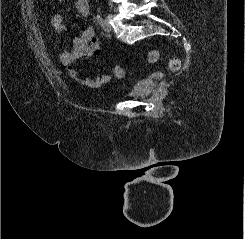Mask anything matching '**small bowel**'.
<instances>
[{
	"label": "small bowel",
	"mask_w": 245,
	"mask_h": 239,
	"mask_svg": "<svg viewBox=\"0 0 245 239\" xmlns=\"http://www.w3.org/2000/svg\"><path fill=\"white\" fill-rule=\"evenodd\" d=\"M56 1L63 2L64 0ZM76 9L82 17H88L91 12L89 0H77ZM51 24L56 33H62L66 29L64 16L60 13L52 16ZM99 54L100 45L95 30L93 27H88L79 37L73 39L71 49L61 53L60 60L67 67L68 74L72 80L82 86L98 89L109 83L112 80V76L101 70H97L93 75L82 77V70L77 68L76 62L79 60H88L95 66H98L100 65Z\"/></svg>",
	"instance_id": "c3829d8e"
}]
</instances>
